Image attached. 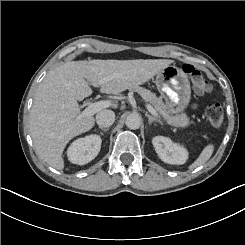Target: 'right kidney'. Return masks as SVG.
<instances>
[{
	"instance_id": "ca27d5eb",
	"label": "right kidney",
	"mask_w": 245,
	"mask_h": 245,
	"mask_svg": "<svg viewBox=\"0 0 245 245\" xmlns=\"http://www.w3.org/2000/svg\"><path fill=\"white\" fill-rule=\"evenodd\" d=\"M102 139L98 134H89L75 139L67 148L66 155L70 163L84 165L93 160L101 149Z\"/></svg>"
}]
</instances>
